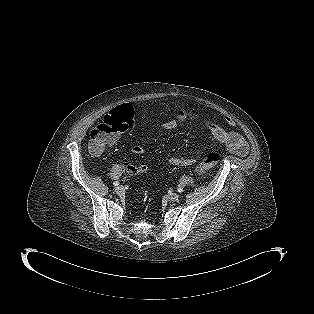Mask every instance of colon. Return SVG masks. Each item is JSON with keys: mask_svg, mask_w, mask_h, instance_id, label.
<instances>
[{"mask_svg": "<svg viewBox=\"0 0 314 314\" xmlns=\"http://www.w3.org/2000/svg\"><path fill=\"white\" fill-rule=\"evenodd\" d=\"M133 109L129 104H122L106 115L103 121L89 133V149L91 153L99 155L105 147L111 144L122 132L134 123ZM221 159L220 153L210 151L197 167L198 173H203L214 167Z\"/></svg>", "mask_w": 314, "mask_h": 314, "instance_id": "1", "label": "colon"}]
</instances>
